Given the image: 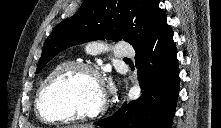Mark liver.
<instances>
[{"label":"liver","mask_w":221,"mask_h":128,"mask_svg":"<svg viewBox=\"0 0 221 128\" xmlns=\"http://www.w3.org/2000/svg\"><path fill=\"white\" fill-rule=\"evenodd\" d=\"M68 128H93V126L89 125V124H87V125H73Z\"/></svg>","instance_id":"6515ba94"}]
</instances>
